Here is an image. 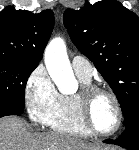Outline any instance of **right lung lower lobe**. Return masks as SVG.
Segmentation results:
<instances>
[{
	"instance_id": "1",
	"label": "right lung lower lobe",
	"mask_w": 139,
	"mask_h": 150,
	"mask_svg": "<svg viewBox=\"0 0 139 150\" xmlns=\"http://www.w3.org/2000/svg\"><path fill=\"white\" fill-rule=\"evenodd\" d=\"M22 113L17 111L16 109L13 108H8V107H2L0 108V117L7 116V115H18L20 116Z\"/></svg>"
}]
</instances>
